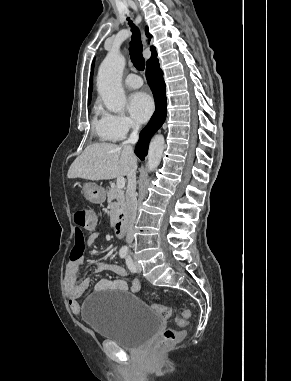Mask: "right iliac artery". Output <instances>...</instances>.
I'll list each match as a JSON object with an SVG mask.
<instances>
[{
	"mask_svg": "<svg viewBox=\"0 0 291 381\" xmlns=\"http://www.w3.org/2000/svg\"><path fill=\"white\" fill-rule=\"evenodd\" d=\"M119 255L121 258H125L127 255V250L126 249H121L119 252Z\"/></svg>",
	"mask_w": 291,
	"mask_h": 381,
	"instance_id": "1",
	"label": "right iliac artery"
}]
</instances>
